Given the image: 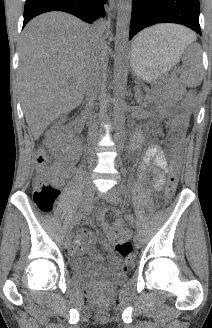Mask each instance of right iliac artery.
<instances>
[{
    "label": "right iliac artery",
    "instance_id": "obj_1",
    "mask_svg": "<svg viewBox=\"0 0 212 328\" xmlns=\"http://www.w3.org/2000/svg\"><path fill=\"white\" fill-rule=\"evenodd\" d=\"M88 205H83L80 207V209L77 211V213L74 215L73 219L71 220L70 223V229H72L83 217L87 210Z\"/></svg>",
    "mask_w": 212,
    "mask_h": 328
}]
</instances>
